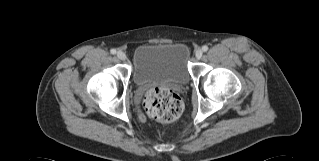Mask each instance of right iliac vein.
Instances as JSON below:
<instances>
[{
    "label": "right iliac vein",
    "mask_w": 319,
    "mask_h": 161,
    "mask_svg": "<svg viewBox=\"0 0 319 161\" xmlns=\"http://www.w3.org/2000/svg\"><path fill=\"white\" fill-rule=\"evenodd\" d=\"M116 56L119 60H122V61L126 60V54L122 51H118Z\"/></svg>",
    "instance_id": "right-iliac-vein-1"
}]
</instances>
